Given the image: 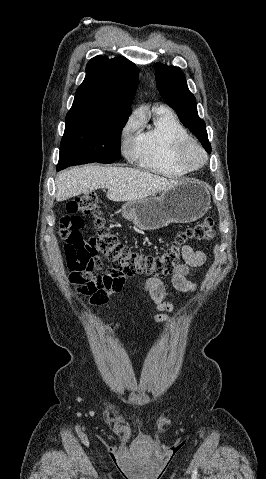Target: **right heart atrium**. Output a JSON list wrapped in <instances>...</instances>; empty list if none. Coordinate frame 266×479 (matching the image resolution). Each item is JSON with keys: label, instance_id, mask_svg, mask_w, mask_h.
I'll return each mask as SVG.
<instances>
[{"label": "right heart atrium", "instance_id": "obj_1", "mask_svg": "<svg viewBox=\"0 0 266 479\" xmlns=\"http://www.w3.org/2000/svg\"><path fill=\"white\" fill-rule=\"evenodd\" d=\"M133 129H134L133 124H132L131 122H128V123L124 126V128L122 129L121 137H122L123 139L128 138V137L131 135ZM127 154H128V152H127ZM128 156H129V155H128Z\"/></svg>", "mask_w": 266, "mask_h": 479}]
</instances>
